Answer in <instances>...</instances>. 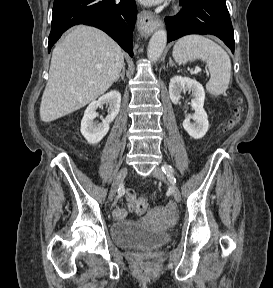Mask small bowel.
I'll return each instance as SVG.
<instances>
[{
    "label": "small bowel",
    "mask_w": 273,
    "mask_h": 288,
    "mask_svg": "<svg viewBox=\"0 0 273 288\" xmlns=\"http://www.w3.org/2000/svg\"><path fill=\"white\" fill-rule=\"evenodd\" d=\"M126 200L128 202V208H123V207H116L114 209L113 215L116 220H123L126 218L128 215L129 211L134 210V201L136 200V194L134 190L128 189L126 191Z\"/></svg>",
    "instance_id": "small-bowel-1"
}]
</instances>
